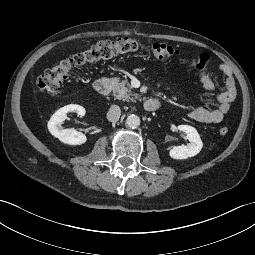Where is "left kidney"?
Listing matches in <instances>:
<instances>
[{
    "mask_svg": "<svg viewBox=\"0 0 255 255\" xmlns=\"http://www.w3.org/2000/svg\"><path fill=\"white\" fill-rule=\"evenodd\" d=\"M177 129L185 134V138L189 141L187 145L175 146L169 151V155L173 159H187L197 155L202 147L200 135L197 130L189 125H179Z\"/></svg>",
    "mask_w": 255,
    "mask_h": 255,
    "instance_id": "left-kidney-1",
    "label": "left kidney"
}]
</instances>
